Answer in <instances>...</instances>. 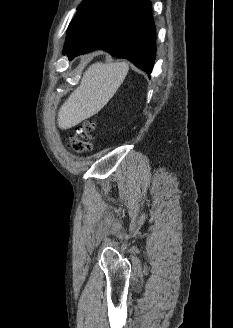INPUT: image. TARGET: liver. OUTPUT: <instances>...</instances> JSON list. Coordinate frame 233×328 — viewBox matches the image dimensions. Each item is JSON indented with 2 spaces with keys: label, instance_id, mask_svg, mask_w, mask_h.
I'll return each mask as SVG.
<instances>
[{
  "label": "liver",
  "instance_id": "obj_1",
  "mask_svg": "<svg viewBox=\"0 0 233 328\" xmlns=\"http://www.w3.org/2000/svg\"><path fill=\"white\" fill-rule=\"evenodd\" d=\"M129 70L125 62L91 65L80 85L63 103L58 112V126L69 129L97 114L113 97Z\"/></svg>",
  "mask_w": 233,
  "mask_h": 328
}]
</instances>
